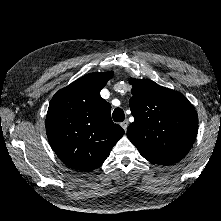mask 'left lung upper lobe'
<instances>
[{"label":"left lung upper lobe","mask_w":221,"mask_h":221,"mask_svg":"<svg viewBox=\"0 0 221 221\" xmlns=\"http://www.w3.org/2000/svg\"><path fill=\"white\" fill-rule=\"evenodd\" d=\"M129 101L134 122L128 139L149 162L171 165L179 162L193 145L198 117L187 98L148 79H130Z\"/></svg>","instance_id":"obj_1"}]
</instances>
